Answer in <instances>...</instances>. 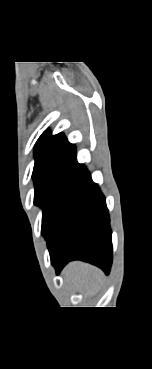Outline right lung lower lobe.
Masks as SVG:
<instances>
[{"instance_id":"1","label":"right lung lower lobe","mask_w":152,"mask_h":369,"mask_svg":"<svg viewBox=\"0 0 152 369\" xmlns=\"http://www.w3.org/2000/svg\"><path fill=\"white\" fill-rule=\"evenodd\" d=\"M105 197L84 165L61 199L46 237L56 273L71 260H83L106 274L112 264V241Z\"/></svg>"}]
</instances>
